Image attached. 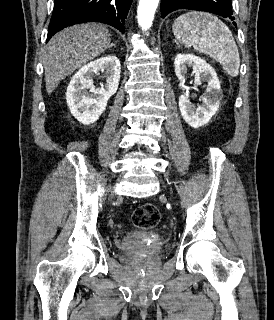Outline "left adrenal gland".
I'll list each match as a JSON object with an SVG mask.
<instances>
[{"label":"left adrenal gland","mask_w":274,"mask_h":320,"mask_svg":"<svg viewBox=\"0 0 274 320\" xmlns=\"http://www.w3.org/2000/svg\"><path fill=\"white\" fill-rule=\"evenodd\" d=\"M176 44H177V48H180V44H179V42H176Z\"/></svg>","instance_id":"a2214340"}]
</instances>
